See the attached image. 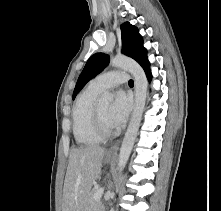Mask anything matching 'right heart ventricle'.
I'll return each mask as SVG.
<instances>
[{
	"instance_id": "e07e8e85",
	"label": "right heart ventricle",
	"mask_w": 221,
	"mask_h": 211,
	"mask_svg": "<svg viewBox=\"0 0 221 211\" xmlns=\"http://www.w3.org/2000/svg\"><path fill=\"white\" fill-rule=\"evenodd\" d=\"M100 92L101 90L89 84L75 101L72 111L73 135L79 145L92 146L101 141L93 123L95 100Z\"/></svg>"
}]
</instances>
